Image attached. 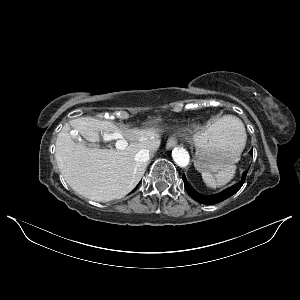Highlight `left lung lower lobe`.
<instances>
[{"instance_id":"obj_1","label":"left lung lower lobe","mask_w":300,"mask_h":300,"mask_svg":"<svg viewBox=\"0 0 300 300\" xmlns=\"http://www.w3.org/2000/svg\"><path fill=\"white\" fill-rule=\"evenodd\" d=\"M250 154H252V150L250 151ZM247 172H248L247 170L243 172L242 179L240 180V182L223 190L220 193L213 194V195H201L196 191H194L193 188L188 184L185 175H183V181H184V186L186 188V191L195 201L205 205H213L222 202L223 200L229 198L230 196L238 192V190L242 187L245 181Z\"/></svg>"}]
</instances>
